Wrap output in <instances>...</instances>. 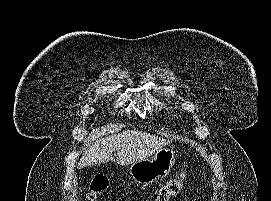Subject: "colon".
Segmentation results:
<instances>
[{
	"mask_svg": "<svg viewBox=\"0 0 271 201\" xmlns=\"http://www.w3.org/2000/svg\"><path fill=\"white\" fill-rule=\"evenodd\" d=\"M188 167L185 166L179 175L168 181L165 186L159 189L153 201H170L180 193L187 178ZM108 187V181L104 177H96L92 180L87 193L88 201H95ZM114 201V200H112Z\"/></svg>",
	"mask_w": 271,
	"mask_h": 201,
	"instance_id": "obj_1",
	"label": "colon"
}]
</instances>
